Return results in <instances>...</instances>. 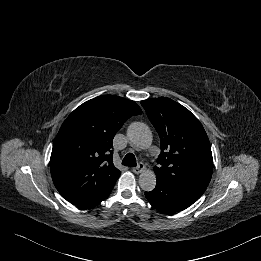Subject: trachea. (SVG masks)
<instances>
[{
	"label": "trachea",
	"mask_w": 261,
	"mask_h": 261,
	"mask_svg": "<svg viewBox=\"0 0 261 261\" xmlns=\"http://www.w3.org/2000/svg\"><path fill=\"white\" fill-rule=\"evenodd\" d=\"M122 165L136 167L137 163H136V158H135L134 154L128 153L124 157V159L122 161Z\"/></svg>",
	"instance_id": "trachea-1"
}]
</instances>
